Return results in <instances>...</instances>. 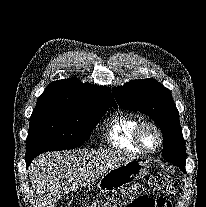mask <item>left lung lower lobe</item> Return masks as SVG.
<instances>
[{"label": "left lung lower lobe", "mask_w": 206, "mask_h": 207, "mask_svg": "<svg viewBox=\"0 0 206 207\" xmlns=\"http://www.w3.org/2000/svg\"><path fill=\"white\" fill-rule=\"evenodd\" d=\"M181 170H182L184 173H186V170H185L184 168H181Z\"/></svg>", "instance_id": "left-lung-lower-lobe-1"}]
</instances>
